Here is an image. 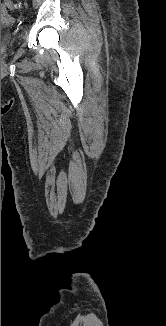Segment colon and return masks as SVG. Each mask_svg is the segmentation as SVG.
Here are the masks:
<instances>
[{"instance_id":"obj_1","label":"colon","mask_w":166,"mask_h":326,"mask_svg":"<svg viewBox=\"0 0 166 326\" xmlns=\"http://www.w3.org/2000/svg\"><path fill=\"white\" fill-rule=\"evenodd\" d=\"M3 4L9 9H13L16 6L11 0H1V5Z\"/></svg>"}]
</instances>
